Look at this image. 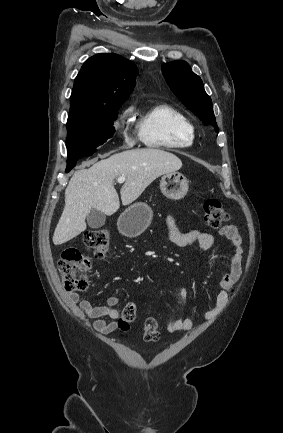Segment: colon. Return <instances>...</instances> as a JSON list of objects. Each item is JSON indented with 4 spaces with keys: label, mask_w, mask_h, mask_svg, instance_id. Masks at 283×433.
Instances as JSON below:
<instances>
[{
    "label": "colon",
    "mask_w": 283,
    "mask_h": 433,
    "mask_svg": "<svg viewBox=\"0 0 283 433\" xmlns=\"http://www.w3.org/2000/svg\"><path fill=\"white\" fill-rule=\"evenodd\" d=\"M204 220L212 228H218L229 219V213L220 201L209 199L204 202ZM86 248L93 252L97 259L104 258L110 250L109 234L104 230H93L84 237ZM58 269L62 277L64 289L68 293L85 291L88 287L86 273L90 269V261L77 249L68 248L61 254ZM137 307L134 303H127L118 321V328L122 332L130 329L136 318ZM143 338L148 343L159 340V325L155 318H148L143 327Z\"/></svg>",
    "instance_id": "5ec220e1"
}]
</instances>
